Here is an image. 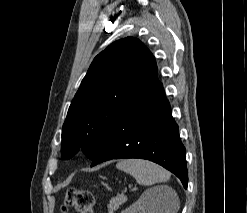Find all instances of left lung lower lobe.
Returning <instances> with one entry per match:
<instances>
[{"mask_svg": "<svg viewBox=\"0 0 247 213\" xmlns=\"http://www.w3.org/2000/svg\"><path fill=\"white\" fill-rule=\"evenodd\" d=\"M140 158L174 173L187 188L185 147L162 83L153 67L137 96L127 105L92 159L91 166L111 159Z\"/></svg>", "mask_w": 247, "mask_h": 213, "instance_id": "obj_1", "label": "left lung lower lobe"}]
</instances>
